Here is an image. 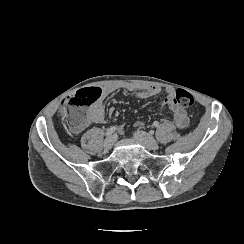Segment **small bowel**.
Masks as SVG:
<instances>
[{
  "label": "small bowel",
  "mask_w": 244,
  "mask_h": 244,
  "mask_svg": "<svg viewBox=\"0 0 244 244\" xmlns=\"http://www.w3.org/2000/svg\"><path fill=\"white\" fill-rule=\"evenodd\" d=\"M100 93L101 97L98 101H96L94 104H92L88 110L87 114L89 117V124L90 123H105L106 122V115H105V109H104V101L113 93L117 91H129L134 92V94L142 99H148L152 96H155L161 92V89L159 87H149V88H139L134 84L131 83H109L104 85L101 88H97ZM167 96L163 100V105L167 106L171 109L175 125L179 129H184L188 126L189 123V117L187 114V111L179 106H176L173 103L172 95H173V89L167 88L166 89ZM88 124V125H89ZM138 126L142 125V122L137 123ZM82 132V131H81ZM80 133V132H78Z\"/></svg>",
  "instance_id": "c3829d8e"
}]
</instances>
